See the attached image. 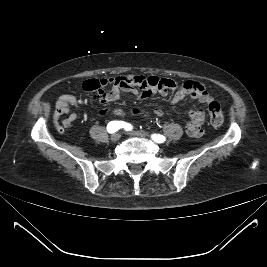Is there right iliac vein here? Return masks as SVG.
Listing matches in <instances>:
<instances>
[{"label": "right iliac vein", "mask_w": 267, "mask_h": 267, "mask_svg": "<svg viewBox=\"0 0 267 267\" xmlns=\"http://www.w3.org/2000/svg\"><path fill=\"white\" fill-rule=\"evenodd\" d=\"M120 138H121V134L120 133H114L111 136V141L112 142H117Z\"/></svg>", "instance_id": "63e3f726"}]
</instances>
